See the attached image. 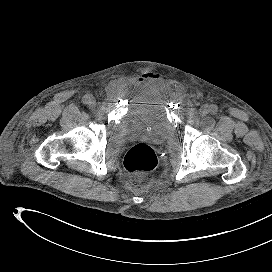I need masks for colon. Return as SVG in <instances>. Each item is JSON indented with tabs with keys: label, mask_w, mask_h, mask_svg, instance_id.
Here are the masks:
<instances>
[{
	"label": "colon",
	"mask_w": 272,
	"mask_h": 272,
	"mask_svg": "<svg viewBox=\"0 0 272 272\" xmlns=\"http://www.w3.org/2000/svg\"><path fill=\"white\" fill-rule=\"evenodd\" d=\"M157 165V157L153 149L146 144L132 147L124 158V167L132 173H142L153 170Z\"/></svg>",
	"instance_id": "1"
}]
</instances>
